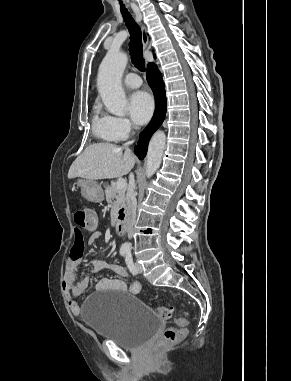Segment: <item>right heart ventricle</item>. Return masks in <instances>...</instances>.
<instances>
[{
	"mask_svg": "<svg viewBox=\"0 0 291 381\" xmlns=\"http://www.w3.org/2000/svg\"><path fill=\"white\" fill-rule=\"evenodd\" d=\"M92 129L99 139L105 142H116L119 139L111 131L107 116L101 114L100 108L96 106L94 108L93 119H92Z\"/></svg>",
	"mask_w": 291,
	"mask_h": 381,
	"instance_id": "right-heart-ventricle-1",
	"label": "right heart ventricle"
}]
</instances>
